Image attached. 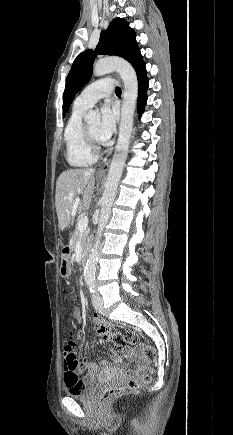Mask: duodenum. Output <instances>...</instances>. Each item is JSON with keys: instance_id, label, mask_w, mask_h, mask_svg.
<instances>
[{"instance_id": "1", "label": "duodenum", "mask_w": 233, "mask_h": 435, "mask_svg": "<svg viewBox=\"0 0 233 435\" xmlns=\"http://www.w3.org/2000/svg\"><path fill=\"white\" fill-rule=\"evenodd\" d=\"M70 252H71V248L70 247H65L64 250H63V256L67 257L70 254ZM83 275H84V265L81 266L79 276L82 277Z\"/></svg>"}]
</instances>
